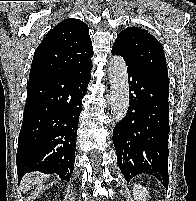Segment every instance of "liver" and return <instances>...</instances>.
I'll return each mask as SVG.
<instances>
[{
    "label": "liver",
    "instance_id": "6515ba94",
    "mask_svg": "<svg viewBox=\"0 0 196 201\" xmlns=\"http://www.w3.org/2000/svg\"><path fill=\"white\" fill-rule=\"evenodd\" d=\"M40 176L41 175L38 172H31L25 175L21 181V190L24 192L29 190L32 186L40 181Z\"/></svg>",
    "mask_w": 196,
    "mask_h": 201
}]
</instances>
